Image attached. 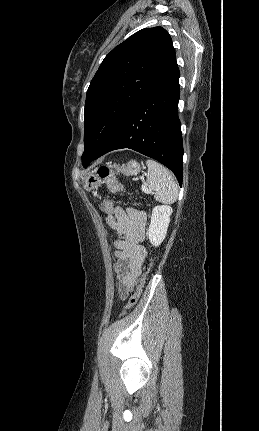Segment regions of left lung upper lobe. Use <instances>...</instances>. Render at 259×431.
<instances>
[{"label": "left lung upper lobe", "instance_id": "obj_1", "mask_svg": "<svg viewBox=\"0 0 259 431\" xmlns=\"http://www.w3.org/2000/svg\"><path fill=\"white\" fill-rule=\"evenodd\" d=\"M175 61L172 39L160 26L136 32L105 57L86 95L82 155L85 168L127 112Z\"/></svg>", "mask_w": 259, "mask_h": 431}]
</instances>
